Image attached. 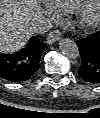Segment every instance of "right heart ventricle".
I'll return each mask as SVG.
<instances>
[{
    "label": "right heart ventricle",
    "mask_w": 100,
    "mask_h": 118,
    "mask_svg": "<svg viewBox=\"0 0 100 118\" xmlns=\"http://www.w3.org/2000/svg\"><path fill=\"white\" fill-rule=\"evenodd\" d=\"M59 12H73L80 9L88 0H49Z\"/></svg>",
    "instance_id": "obj_1"
}]
</instances>
